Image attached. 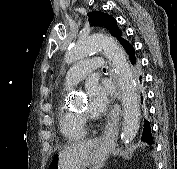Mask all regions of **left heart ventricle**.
Returning <instances> with one entry per match:
<instances>
[{
	"mask_svg": "<svg viewBox=\"0 0 177 169\" xmlns=\"http://www.w3.org/2000/svg\"><path fill=\"white\" fill-rule=\"evenodd\" d=\"M78 113H81V114H88V108H87V104L84 103L77 111Z\"/></svg>",
	"mask_w": 177,
	"mask_h": 169,
	"instance_id": "1",
	"label": "left heart ventricle"
}]
</instances>
